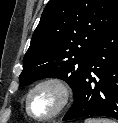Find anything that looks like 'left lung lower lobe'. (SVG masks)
I'll return each mask as SVG.
<instances>
[{"instance_id":"obj_1","label":"left lung lower lobe","mask_w":118,"mask_h":123,"mask_svg":"<svg viewBox=\"0 0 118 123\" xmlns=\"http://www.w3.org/2000/svg\"><path fill=\"white\" fill-rule=\"evenodd\" d=\"M85 116L118 120V19L94 45L73 105L63 121Z\"/></svg>"}]
</instances>
